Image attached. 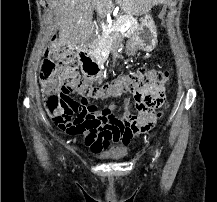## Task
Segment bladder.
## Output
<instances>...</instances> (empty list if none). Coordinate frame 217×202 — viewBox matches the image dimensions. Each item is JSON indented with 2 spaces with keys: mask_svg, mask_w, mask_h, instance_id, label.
Returning <instances> with one entry per match:
<instances>
[{
  "mask_svg": "<svg viewBox=\"0 0 217 202\" xmlns=\"http://www.w3.org/2000/svg\"><path fill=\"white\" fill-rule=\"evenodd\" d=\"M127 155L126 151L123 149H115L111 152L103 155V158H123Z\"/></svg>",
  "mask_w": 217,
  "mask_h": 202,
  "instance_id": "obj_1",
  "label": "bladder"
}]
</instances>
